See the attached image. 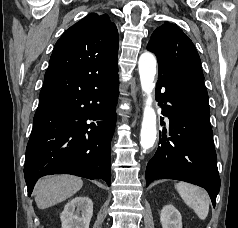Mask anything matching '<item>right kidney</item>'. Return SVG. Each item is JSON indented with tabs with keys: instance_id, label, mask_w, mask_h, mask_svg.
Masks as SVG:
<instances>
[{
	"instance_id": "1",
	"label": "right kidney",
	"mask_w": 238,
	"mask_h": 228,
	"mask_svg": "<svg viewBox=\"0 0 238 228\" xmlns=\"http://www.w3.org/2000/svg\"><path fill=\"white\" fill-rule=\"evenodd\" d=\"M93 215V202L89 197H75L60 215L62 228H89Z\"/></svg>"
}]
</instances>
